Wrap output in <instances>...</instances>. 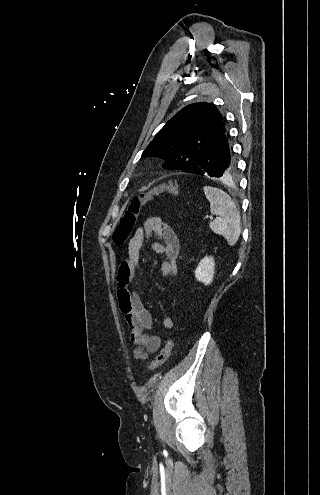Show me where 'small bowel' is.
I'll list each match as a JSON object with an SVG mask.
<instances>
[{"label": "small bowel", "mask_w": 320, "mask_h": 495, "mask_svg": "<svg viewBox=\"0 0 320 495\" xmlns=\"http://www.w3.org/2000/svg\"><path fill=\"white\" fill-rule=\"evenodd\" d=\"M145 240L152 241L151 247L155 253L165 256L160 267L163 276L176 274L180 248L174 230L160 217L148 216L129 241L128 257L120 265L117 276L119 303L128 326L130 342L133 344V354L135 358L142 360L156 353L162 343L161 338L154 333L153 317L139 294L125 287L140 267V252ZM162 325L166 329H172L175 324L170 317H165Z\"/></svg>", "instance_id": "1"}]
</instances>
